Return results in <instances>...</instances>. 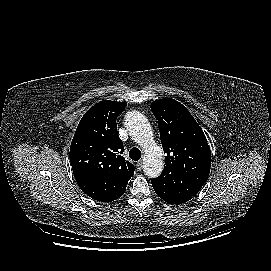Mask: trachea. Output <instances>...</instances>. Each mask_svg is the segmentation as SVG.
Returning a JSON list of instances; mask_svg holds the SVG:
<instances>
[{"mask_svg": "<svg viewBox=\"0 0 271 271\" xmlns=\"http://www.w3.org/2000/svg\"><path fill=\"white\" fill-rule=\"evenodd\" d=\"M141 151L138 148H132L129 151V157L134 160V161H138L141 158Z\"/></svg>", "mask_w": 271, "mask_h": 271, "instance_id": "obj_1", "label": "trachea"}]
</instances>
